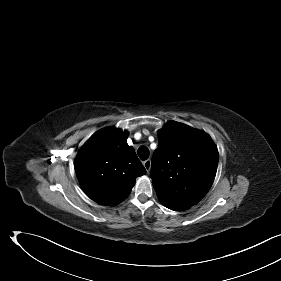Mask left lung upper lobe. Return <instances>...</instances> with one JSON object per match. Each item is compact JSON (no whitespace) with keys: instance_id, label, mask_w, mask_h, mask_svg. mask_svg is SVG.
Returning <instances> with one entry per match:
<instances>
[{"instance_id":"left-lung-upper-lobe-1","label":"left lung upper lobe","mask_w":281,"mask_h":281,"mask_svg":"<svg viewBox=\"0 0 281 281\" xmlns=\"http://www.w3.org/2000/svg\"><path fill=\"white\" fill-rule=\"evenodd\" d=\"M158 139L150 174L158 199L169 209H189L213 184L218 150L207 133L176 121L166 123Z\"/></svg>"}]
</instances>
